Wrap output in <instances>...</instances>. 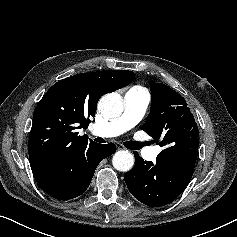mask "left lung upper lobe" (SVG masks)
Returning <instances> with one entry per match:
<instances>
[{"label": "left lung upper lobe", "mask_w": 237, "mask_h": 237, "mask_svg": "<svg viewBox=\"0 0 237 237\" xmlns=\"http://www.w3.org/2000/svg\"><path fill=\"white\" fill-rule=\"evenodd\" d=\"M151 111L142 129L164 149L157 159L195 166L198 127L185 99L162 83L151 86Z\"/></svg>", "instance_id": "1"}]
</instances>
